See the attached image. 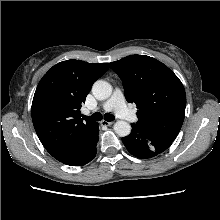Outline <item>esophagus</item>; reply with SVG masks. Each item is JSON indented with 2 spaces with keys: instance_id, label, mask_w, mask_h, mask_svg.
<instances>
[{
  "instance_id": "34e87169",
  "label": "esophagus",
  "mask_w": 220,
  "mask_h": 220,
  "mask_svg": "<svg viewBox=\"0 0 220 220\" xmlns=\"http://www.w3.org/2000/svg\"><path fill=\"white\" fill-rule=\"evenodd\" d=\"M102 123L104 124V125H107V126H110V125H112L113 123H114V121H102Z\"/></svg>"
}]
</instances>
